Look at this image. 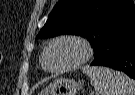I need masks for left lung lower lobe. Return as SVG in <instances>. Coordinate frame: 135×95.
<instances>
[{"label": "left lung lower lobe", "instance_id": "0a47b994", "mask_svg": "<svg viewBox=\"0 0 135 95\" xmlns=\"http://www.w3.org/2000/svg\"><path fill=\"white\" fill-rule=\"evenodd\" d=\"M91 65L122 71L135 80V20L104 39Z\"/></svg>", "mask_w": 135, "mask_h": 95}]
</instances>
